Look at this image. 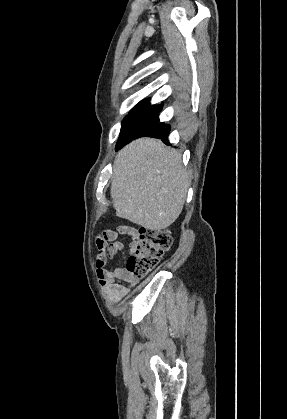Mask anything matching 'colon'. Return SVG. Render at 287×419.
I'll use <instances>...</instances> for the list:
<instances>
[{
	"mask_svg": "<svg viewBox=\"0 0 287 419\" xmlns=\"http://www.w3.org/2000/svg\"><path fill=\"white\" fill-rule=\"evenodd\" d=\"M171 243L165 231L140 228L130 243L128 271L138 278L145 276L159 264Z\"/></svg>",
	"mask_w": 287,
	"mask_h": 419,
	"instance_id": "obj_1",
	"label": "colon"
}]
</instances>
